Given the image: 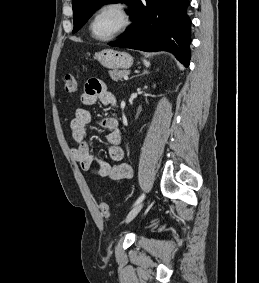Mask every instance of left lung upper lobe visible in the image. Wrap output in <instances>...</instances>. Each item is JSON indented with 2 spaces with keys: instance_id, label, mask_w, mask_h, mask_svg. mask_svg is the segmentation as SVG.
Returning a JSON list of instances; mask_svg holds the SVG:
<instances>
[{
  "instance_id": "5c2ea615",
  "label": "left lung upper lobe",
  "mask_w": 259,
  "mask_h": 283,
  "mask_svg": "<svg viewBox=\"0 0 259 283\" xmlns=\"http://www.w3.org/2000/svg\"><path fill=\"white\" fill-rule=\"evenodd\" d=\"M134 1L135 0H72L74 20L73 33L77 32L101 5L125 2L133 8ZM128 13H130V11H128Z\"/></svg>"
}]
</instances>
